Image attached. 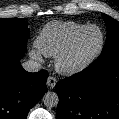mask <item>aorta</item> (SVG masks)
<instances>
[{"instance_id":"762f6f07","label":"aorta","mask_w":119,"mask_h":119,"mask_svg":"<svg viewBox=\"0 0 119 119\" xmlns=\"http://www.w3.org/2000/svg\"><path fill=\"white\" fill-rule=\"evenodd\" d=\"M43 103L46 107H56L59 102V97L56 92H46L43 96Z\"/></svg>"}]
</instances>
